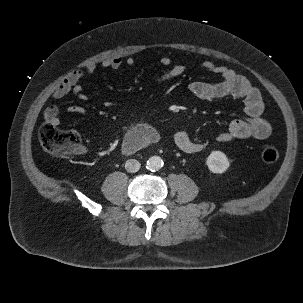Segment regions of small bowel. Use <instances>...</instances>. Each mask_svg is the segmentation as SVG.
I'll return each instance as SVG.
<instances>
[{
  "label": "small bowel",
  "mask_w": 303,
  "mask_h": 303,
  "mask_svg": "<svg viewBox=\"0 0 303 303\" xmlns=\"http://www.w3.org/2000/svg\"><path fill=\"white\" fill-rule=\"evenodd\" d=\"M135 60L132 57L123 58L120 56L108 58L102 61V67L108 69H119L123 66H133ZM160 64L166 70L156 77L155 84L162 85L165 82L182 76L188 69L187 64H173L168 56L160 59ZM202 69L214 72L221 76L218 82L195 81L188 85L189 92L200 100L213 101L227 97L241 98L244 104L246 119H234L228 128L219 133L217 141L230 142L247 138L265 139L271 133L270 123L263 117L264 105L259 90L251 81L237 74L234 70L218 65L212 61H205L201 64ZM96 65L88 64L84 69L69 73L61 83L53 90L52 98L62 99L72 92L79 100L86 101L88 95L84 92L81 80L95 72ZM69 113L85 115L86 109L80 105H70L67 108ZM44 118L47 123L58 126L60 124V109L57 105H50L44 111ZM175 145L186 153H195L203 149L204 144L195 140L188 132L181 130L174 134Z\"/></svg>",
  "instance_id": "1"
}]
</instances>
